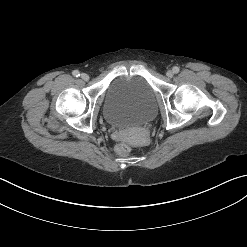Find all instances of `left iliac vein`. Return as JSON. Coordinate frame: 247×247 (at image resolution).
<instances>
[{"instance_id":"left-iliac-vein-1","label":"left iliac vein","mask_w":247,"mask_h":247,"mask_svg":"<svg viewBox=\"0 0 247 247\" xmlns=\"http://www.w3.org/2000/svg\"><path fill=\"white\" fill-rule=\"evenodd\" d=\"M167 77L171 78L174 75V72L172 70L167 71L166 73Z\"/></svg>"}]
</instances>
